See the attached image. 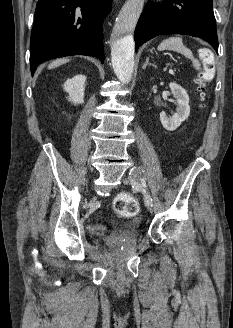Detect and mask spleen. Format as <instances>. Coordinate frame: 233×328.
<instances>
[{
  "mask_svg": "<svg viewBox=\"0 0 233 328\" xmlns=\"http://www.w3.org/2000/svg\"><path fill=\"white\" fill-rule=\"evenodd\" d=\"M159 51H164V50H171L175 51L177 53L182 54L188 59L192 60V65L196 70H200V63L197 59L194 58L192 51L184 46L182 38L181 37H169L165 40H163L159 46H158Z\"/></svg>",
  "mask_w": 233,
  "mask_h": 328,
  "instance_id": "3e777b00",
  "label": "spleen"
}]
</instances>
